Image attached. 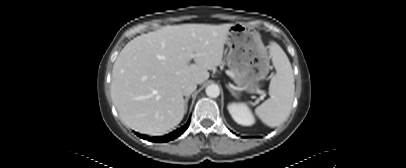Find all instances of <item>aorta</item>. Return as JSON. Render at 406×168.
<instances>
[{"instance_id":"1","label":"aorta","mask_w":406,"mask_h":168,"mask_svg":"<svg viewBox=\"0 0 406 168\" xmlns=\"http://www.w3.org/2000/svg\"><path fill=\"white\" fill-rule=\"evenodd\" d=\"M219 94H220V89H219V87H218L217 85H215V84L209 85V86L206 88V95L209 96V97H211V98H216V97L219 96Z\"/></svg>"}]
</instances>
